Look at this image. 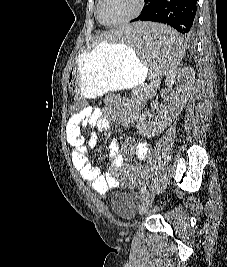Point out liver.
Segmentation results:
<instances>
[{"label":"liver","mask_w":227,"mask_h":267,"mask_svg":"<svg viewBox=\"0 0 227 267\" xmlns=\"http://www.w3.org/2000/svg\"><path fill=\"white\" fill-rule=\"evenodd\" d=\"M114 33H118V30H115V29H113V30H111L106 36H114ZM106 41H103V42H101V43H105ZM100 43V44H101Z\"/></svg>","instance_id":"liver-1"}]
</instances>
